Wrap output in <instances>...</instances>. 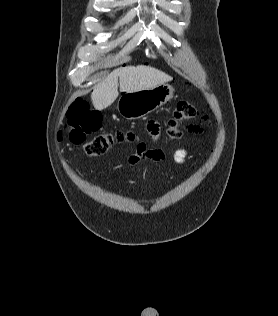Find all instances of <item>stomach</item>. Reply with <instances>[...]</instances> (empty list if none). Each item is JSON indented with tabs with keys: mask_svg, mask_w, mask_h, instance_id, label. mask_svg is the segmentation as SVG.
Instances as JSON below:
<instances>
[{
	"mask_svg": "<svg viewBox=\"0 0 278 316\" xmlns=\"http://www.w3.org/2000/svg\"><path fill=\"white\" fill-rule=\"evenodd\" d=\"M174 89L163 83L153 88L123 94L117 103L118 112L126 119L141 118L161 107L173 97Z\"/></svg>",
	"mask_w": 278,
	"mask_h": 316,
	"instance_id": "obj_1",
	"label": "stomach"
}]
</instances>
